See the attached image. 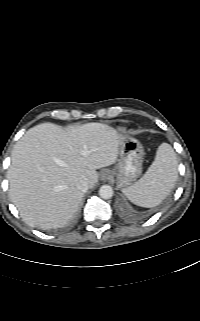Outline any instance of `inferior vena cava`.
Returning <instances> with one entry per match:
<instances>
[{
	"label": "inferior vena cava",
	"instance_id": "inferior-vena-cava-1",
	"mask_svg": "<svg viewBox=\"0 0 200 321\" xmlns=\"http://www.w3.org/2000/svg\"><path fill=\"white\" fill-rule=\"evenodd\" d=\"M76 186L82 192H86L88 190V181L86 179H82L76 184Z\"/></svg>",
	"mask_w": 200,
	"mask_h": 321
}]
</instances>
